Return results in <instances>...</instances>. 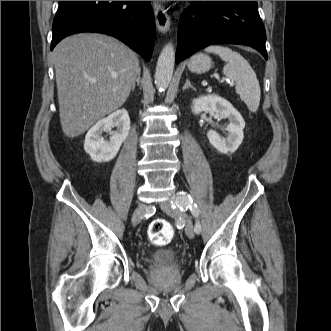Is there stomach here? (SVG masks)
Segmentation results:
<instances>
[{
  "instance_id": "stomach-1",
  "label": "stomach",
  "mask_w": 331,
  "mask_h": 331,
  "mask_svg": "<svg viewBox=\"0 0 331 331\" xmlns=\"http://www.w3.org/2000/svg\"><path fill=\"white\" fill-rule=\"evenodd\" d=\"M212 66L211 58L202 52L193 55L188 61V69L191 72L202 74L207 72Z\"/></svg>"
}]
</instances>
